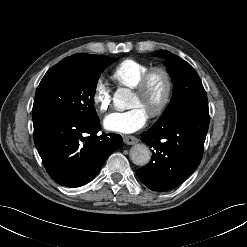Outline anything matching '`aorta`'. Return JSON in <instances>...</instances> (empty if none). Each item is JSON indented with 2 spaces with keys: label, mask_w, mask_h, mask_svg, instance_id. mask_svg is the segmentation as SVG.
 <instances>
[{
  "label": "aorta",
  "mask_w": 247,
  "mask_h": 247,
  "mask_svg": "<svg viewBox=\"0 0 247 247\" xmlns=\"http://www.w3.org/2000/svg\"><path fill=\"white\" fill-rule=\"evenodd\" d=\"M130 95L131 91L129 89H119L115 93L114 100L116 102H125ZM130 159L135 165L145 166L151 159L149 147L142 143L135 144L130 149Z\"/></svg>",
  "instance_id": "762f6f07"
}]
</instances>
